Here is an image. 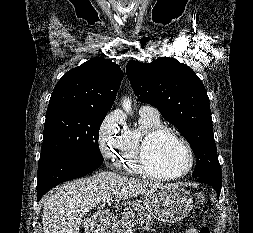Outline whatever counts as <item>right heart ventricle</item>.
<instances>
[{
  "label": "right heart ventricle",
  "instance_id": "1",
  "mask_svg": "<svg viewBox=\"0 0 253 233\" xmlns=\"http://www.w3.org/2000/svg\"><path fill=\"white\" fill-rule=\"evenodd\" d=\"M162 125L160 116L140 114L138 126L126 128L122 142L114 157V165L132 174H144L137 163L139 143L147 132Z\"/></svg>",
  "mask_w": 253,
  "mask_h": 233
}]
</instances>
